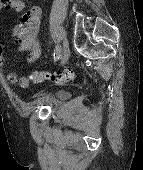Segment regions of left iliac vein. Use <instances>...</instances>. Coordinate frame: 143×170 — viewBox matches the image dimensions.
I'll return each mask as SVG.
<instances>
[{"mask_svg":"<svg viewBox=\"0 0 143 170\" xmlns=\"http://www.w3.org/2000/svg\"><path fill=\"white\" fill-rule=\"evenodd\" d=\"M70 57V49L68 45V41L65 39L63 43V51L61 55V65H65Z\"/></svg>","mask_w":143,"mask_h":170,"instance_id":"4c4485c4","label":"left iliac vein"}]
</instances>
